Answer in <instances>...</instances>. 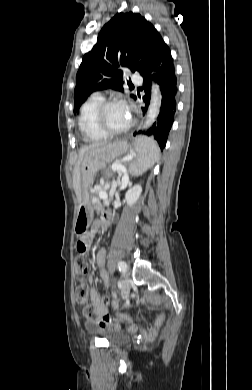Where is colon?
<instances>
[{"label": "colon", "mask_w": 252, "mask_h": 390, "mask_svg": "<svg viewBox=\"0 0 252 390\" xmlns=\"http://www.w3.org/2000/svg\"><path fill=\"white\" fill-rule=\"evenodd\" d=\"M77 231L80 234L86 235V224L83 223L80 226H78ZM80 248L83 250V252H78L79 254L75 257V273L79 277V283L75 290L76 300L79 303L85 304L84 306V313L88 317H92L95 314V309L92 305L86 304L87 297H88V284L85 280V275L87 272V263L84 257V254L87 250V243L81 242ZM103 303L105 305L110 304V300L107 296H103ZM125 322V315L119 312H115L113 314H106L99 318V323L103 326L112 324V323H121ZM161 320H158L154 325L151 326V331L156 333L161 325Z\"/></svg>", "instance_id": "5ec220e1"}]
</instances>
